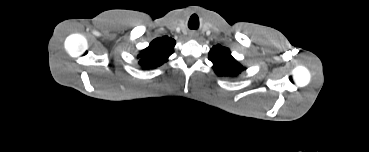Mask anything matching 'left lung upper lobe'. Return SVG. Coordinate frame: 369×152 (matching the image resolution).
I'll return each instance as SVG.
<instances>
[{
	"mask_svg": "<svg viewBox=\"0 0 369 152\" xmlns=\"http://www.w3.org/2000/svg\"><path fill=\"white\" fill-rule=\"evenodd\" d=\"M209 60L213 63V69L219 76H236L244 68L232 56L228 48L215 45L209 52Z\"/></svg>",
	"mask_w": 369,
	"mask_h": 152,
	"instance_id": "left-lung-upper-lobe-1",
	"label": "left lung upper lobe"
}]
</instances>
